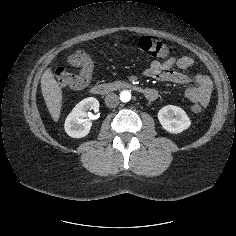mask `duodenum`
Here are the masks:
<instances>
[{
    "instance_id": "duodenum-1",
    "label": "duodenum",
    "mask_w": 236,
    "mask_h": 236,
    "mask_svg": "<svg viewBox=\"0 0 236 236\" xmlns=\"http://www.w3.org/2000/svg\"><path fill=\"white\" fill-rule=\"evenodd\" d=\"M117 89L135 90L144 95L148 99L155 95V92L149 88H141L134 85L131 82H126V81H111L106 83L94 84L90 88V92L94 95L101 96V95H106Z\"/></svg>"
}]
</instances>
